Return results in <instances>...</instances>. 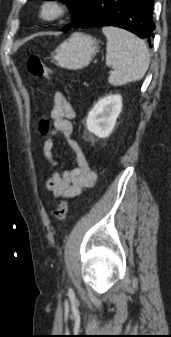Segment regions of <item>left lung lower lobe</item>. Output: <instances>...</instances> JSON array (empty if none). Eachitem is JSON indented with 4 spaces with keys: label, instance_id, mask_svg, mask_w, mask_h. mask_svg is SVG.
Here are the masks:
<instances>
[{
    "label": "left lung lower lobe",
    "instance_id": "obj_1",
    "mask_svg": "<svg viewBox=\"0 0 171 337\" xmlns=\"http://www.w3.org/2000/svg\"><path fill=\"white\" fill-rule=\"evenodd\" d=\"M154 0H87L73 28L116 26L133 32L150 43L155 25Z\"/></svg>",
    "mask_w": 171,
    "mask_h": 337
}]
</instances>
